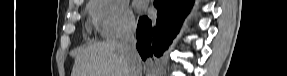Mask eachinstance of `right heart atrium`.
I'll return each mask as SVG.
<instances>
[{
    "instance_id": "d8ad5b80",
    "label": "right heart atrium",
    "mask_w": 287,
    "mask_h": 76,
    "mask_svg": "<svg viewBox=\"0 0 287 76\" xmlns=\"http://www.w3.org/2000/svg\"><path fill=\"white\" fill-rule=\"evenodd\" d=\"M91 14L105 38H120L135 28V18L123 0H95Z\"/></svg>"
}]
</instances>
